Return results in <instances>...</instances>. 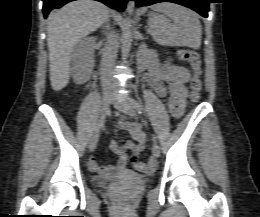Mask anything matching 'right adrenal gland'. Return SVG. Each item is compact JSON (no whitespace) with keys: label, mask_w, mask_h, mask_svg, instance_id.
Masks as SVG:
<instances>
[{"label":"right adrenal gland","mask_w":260,"mask_h":217,"mask_svg":"<svg viewBox=\"0 0 260 217\" xmlns=\"http://www.w3.org/2000/svg\"><path fill=\"white\" fill-rule=\"evenodd\" d=\"M110 28V18L107 20V22L102 26V29L108 30Z\"/></svg>","instance_id":"obj_1"}]
</instances>
